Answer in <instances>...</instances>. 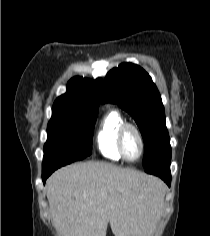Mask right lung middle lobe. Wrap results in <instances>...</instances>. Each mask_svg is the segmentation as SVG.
<instances>
[{
    "label": "right lung middle lobe",
    "instance_id": "dd1d6c3e",
    "mask_svg": "<svg viewBox=\"0 0 210 236\" xmlns=\"http://www.w3.org/2000/svg\"><path fill=\"white\" fill-rule=\"evenodd\" d=\"M97 111L52 108L43 161L74 162L89 156Z\"/></svg>",
    "mask_w": 210,
    "mask_h": 236
}]
</instances>
